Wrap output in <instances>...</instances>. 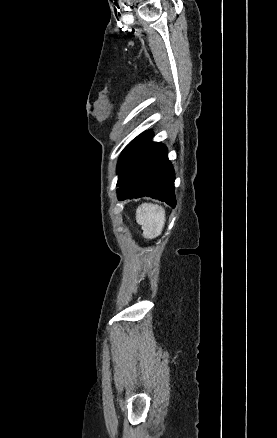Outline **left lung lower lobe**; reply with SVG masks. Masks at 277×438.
Here are the masks:
<instances>
[{"instance_id":"1","label":"left lung lower lobe","mask_w":277,"mask_h":438,"mask_svg":"<svg viewBox=\"0 0 277 438\" xmlns=\"http://www.w3.org/2000/svg\"><path fill=\"white\" fill-rule=\"evenodd\" d=\"M152 137L146 131L131 142L119 173L118 199L149 196L175 207L174 170L166 147L152 142Z\"/></svg>"}]
</instances>
